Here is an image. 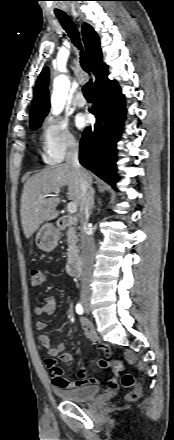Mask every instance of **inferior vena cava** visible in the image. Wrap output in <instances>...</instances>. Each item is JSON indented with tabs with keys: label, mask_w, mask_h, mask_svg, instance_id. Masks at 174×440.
Wrapping results in <instances>:
<instances>
[{
	"label": "inferior vena cava",
	"mask_w": 174,
	"mask_h": 440,
	"mask_svg": "<svg viewBox=\"0 0 174 440\" xmlns=\"http://www.w3.org/2000/svg\"><path fill=\"white\" fill-rule=\"evenodd\" d=\"M78 143L73 139L68 143L66 164L71 165L77 172L81 188L80 204V238L83 256V271L81 277V295L87 296L91 293L90 281L94 266V242L89 234L88 219L92 210V192L87 172L82 168L78 159Z\"/></svg>",
	"instance_id": "1"
}]
</instances>
